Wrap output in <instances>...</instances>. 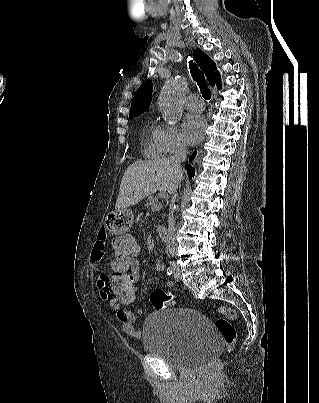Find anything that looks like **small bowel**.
<instances>
[{"label": "small bowel", "instance_id": "c3829d8e", "mask_svg": "<svg viewBox=\"0 0 319 403\" xmlns=\"http://www.w3.org/2000/svg\"><path fill=\"white\" fill-rule=\"evenodd\" d=\"M108 245V233L104 228H101L97 234V240L91 251V260L95 263H101L106 255ZM139 255V254H137ZM112 266V262H111ZM155 268L157 271L164 269V262L159 260ZM134 271L135 282L138 281L139 268H132ZM167 287H172L173 282L168 280L165 282ZM97 287L100 292L101 298L105 303L111 307L116 314L117 320L122 324L124 333L133 341H140L142 339V333L136 326V316L141 313V309L129 310L126 308L130 304H118L113 295V274L105 273L101 275L97 281ZM137 294V291H136Z\"/></svg>", "mask_w": 319, "mask_h": 403}]
</instances>
